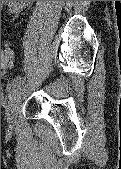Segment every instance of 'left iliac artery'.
Instances as JSON below:
<instances>
[{"instance_id": "44dca946", "label": "left iliac artery", "mask_w": 121, "mask_h": 169, "mask_svg": "<svg viewBox=\"0 0 121 169\" xmlns=\"http://www.w3.org/2000/svg\"><path fill=\"white\" fill-rule=\"evenodd\" d=\"M24 83H25V79H24V78H22V77H17V78H15V79L11 82L10 87H9V89H10V95H11V94H14V92H15L18 88H20Z\"/></svg>"}]
</instances>
